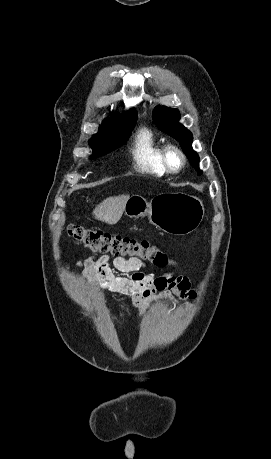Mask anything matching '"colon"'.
Segmentation results:
<instances>
[{
  "instance_id": "1",
  "label": "colon",
  "mask_w": 271,
  "mask_h": 459,
  "mask_svg": "<svg viewBox=\"0 0 271 459\" xmlns=\"http://www.w3.org/2000/svg\"><path fill=\"white\" fill-rule=\"evenodd\" d=\"M66 235L75 243L94 252L107 253L115 256H129L149 261L158 267L173 264L169 256L148 241H138L119 235H111L99 229L68 225Z\"/></svg>"
}]
</instances>
